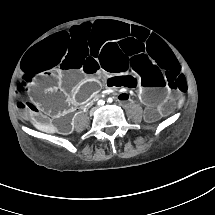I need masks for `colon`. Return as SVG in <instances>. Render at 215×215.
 I'll use <instances>...</instances> for the list:
<instances>
[{"label":"colon","instance_id":"colon-1","mask_svg":"<svg viewBox=\"0 0 215 215\" xmlns=\"http://www.w3.org/2000/svg\"><path fill=\"white\" fill-rule=\"evenodd\" d=\"M53 93L52 92H46L44 94V97L42 99V103L44 105H47V103H44V102H47V101H50L51 97H52ZM41 103H27V102H19L18 104V109L24 113V115L26 116H29V117H36L37 114L39 113V105Z\"/></svg>","mask_w":215,"mask_h":215}]
</instances>
